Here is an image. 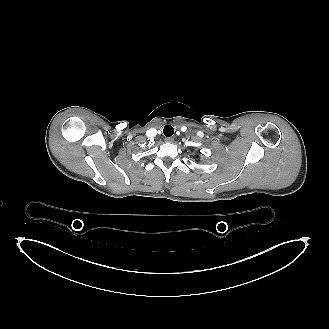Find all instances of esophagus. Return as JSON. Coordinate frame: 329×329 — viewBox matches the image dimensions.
I'll return each instance as SVG.
<instances>
[{
    "label": "esophagus",
    "mask_w": 329,
    "mask_h": 329,
    "mask_svg": "<svg viewBox=\"0 0 329 329\" xmlns=\"http://www.w3.org/2000/svg\"><path fill=\"white\" fill-rule=\"evenodd\" d=\"M173 141H174V139L172 137H166L165 138L166 143H172Z\"/></svg>",
    "instance_id": "34e87169"
}]
</instances>
